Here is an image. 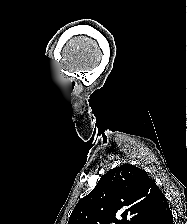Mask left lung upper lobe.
<instances>
[{
  "label": "left lung upper lobe",
  "instance_id": "left-lung-upper-lobe-1",
  "mask_svg": "<svg viewBox=\"0 0 187 224\" xmlns=\"http://www.w3.org/2000/svg\"><path fill=\"white\" fill-rule=\"evenodd\" d=\"M162 195L146 171L123 164L102 175L76 204L68 224H148Z\"/></svg>",
  "mask_w": 187,
  "mask_h": 224
}]
</instances>
